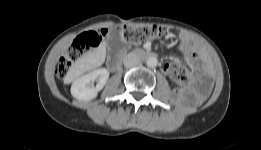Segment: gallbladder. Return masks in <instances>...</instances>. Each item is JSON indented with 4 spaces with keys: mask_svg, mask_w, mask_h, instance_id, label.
<instances>
[{
    "mask_svg": "<svg viewBox=\"0 0 261 150\" xmlns=\"http://www.w3.org/2000/svg\"><path fill=\"white\" fill-rule=\"evenodd\" d=\"M107 48L111 54H117L126 48V43L123 41L119 33H111L107 37Z\"/></svg>",
    "mask_w": 261,
    "mask_h": 150,
    "instance_id": "1",
    "label": "gallbladder"
}]
</instances>
